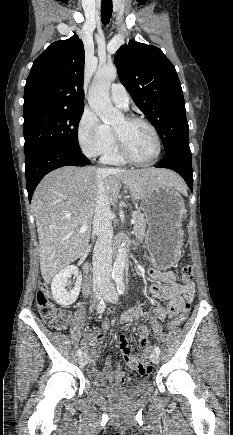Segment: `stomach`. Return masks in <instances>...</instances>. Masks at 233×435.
Wrapping results in <instances>:
<instances>
[{"mask_svg":"<svg viewBox=\"0 0 233 435\" xmlns=\"http://www.w3.org/2000/svg\"><path fill=\"white\" fill-rule=\"evenodd\" d=\"M141 210L148 224L146 242L150 259L160 270L172 267L182 246L184 200L173 187L156 185L142 199Z\"/></svg>","mask_w":233,"mask_h":435,"instance_id":"obj_1","label":"stomach"}]
</instances>
